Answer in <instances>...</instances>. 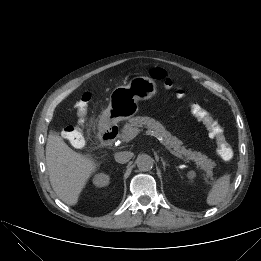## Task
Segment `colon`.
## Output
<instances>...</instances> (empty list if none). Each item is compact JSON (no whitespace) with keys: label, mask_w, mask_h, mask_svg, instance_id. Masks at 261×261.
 Masks as SVG:
<instances>
[{"label":"colon","mask_w":261,"mask_h":261,"mask_svg":"<svg viewBox=\"0 0 261 261\" xmlns=\"http://www.w3.org/2000/svg\"><path fill=\"white\" fill-rule=\"evenodd\" d=\"M150 76L154 80L160 81L163 83L166 89H172L173 82L168 77L165 70L162 68H154L150 71ZM175 93L178 98H182L184 96V92L182 89H175ZM91 99V90H86L82 96L80 97L76 108L79 115H84L86 113L88 103ZM190 110L192 114L202 121L209 133L210 136L213 137L216 141V151L218 156L225 160H231L234 156V151L230 143L228 142L224 130L221 125L213 119L210 114L203 109L199 104L192 103L190 104ZM63 136L74 146V147H82L84 145V130L83 126L80 124H74L67 126L63 130Z\"/></svg>","instance_id":"1"}]
</instances>
